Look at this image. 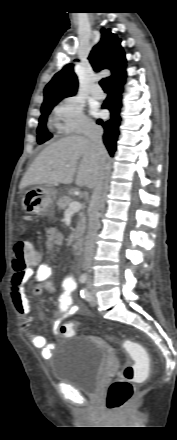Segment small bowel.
<instances>
[{
  "label": "small bowel",
  "instance_id": "1",
  "mask_svg": "<svg viewBox=\"0 0 177 440\" xmlns=\"http://www.w3.org/2000/svg\"><path fill=\"white\" fill-rule=\"evenodd\" d=\"M64 237L56 228L51 227L46 233V245L48 248H54L62 245ZM35 268H28L14 274L10 282V291L15 309L22 317V327L29 332L30 328L40 317L33 315L30 302L25 293V285L29 280H33L36 285L34 294L40 295L43 292L54 293L56 288L51 282L55 274L54 269L44 263L38 262ZM77 288L76 280L73 276H67L62 281V293L58 297V311L53 315V333L58 334L60 323L68 316L75 313H84L86 309L73 298V292ZM31 344L41 350L42 356L50 357L53 346L47 344L46 337L40 334L29 333Z\"/></svg>",
  "mask_w": 177,
  "mask_h": 440
}]
</instances>
